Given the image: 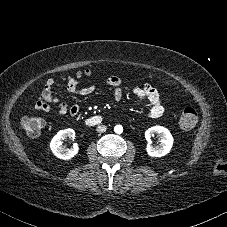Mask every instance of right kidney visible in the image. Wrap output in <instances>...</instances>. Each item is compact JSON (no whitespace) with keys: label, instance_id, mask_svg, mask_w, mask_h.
<instances>
[{"label":"right kidney","instance_id":"1","mask_svg":"<svg viewBox=\"0 0 227 227\" xmlns=\"http://www.w3.org/2000/svg\"><path fill=\"white\" fill-rule=\"evenodd\" d=\"M75 137V131L71 128L60 130L51 140L50 148L55 156L63 160H69L78 153V145L74 143L71 148L62 146V140L64 138Z\"/></svg>","mask_w":227,"mask_h":227}]
</instances>
